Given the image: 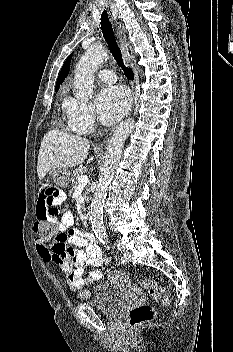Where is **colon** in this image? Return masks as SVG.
Returning a JSON list of instances; mask_svg holds the SVG:
<instances>
[{"label": "colon", "instance_id": "colon-1", "mask_svg": "<svg viewBox=\"0 0 233 352\" xmlns=\"http://www.w3.org/2000/svg\"><path fill=\"white\" fill-rule=\"evenodd\" d=\"M34 232L38 238L47 242L54 239L58 235L57 228L46 220H37L34 224ZM141 285L147 290L151 299L161 303L164 306L169 305L170 299L165 292V288L153 278H145L141 280ZM78 296L80 299L86 300L90 297V291L79 288ZM154 309L148 304H142L133 308L129 312V323L131 326H140L151 321L154 317Z\"/></svg>", "mask_w": 233, "mask_h": 352}]
</instances>
